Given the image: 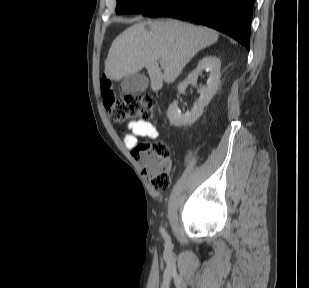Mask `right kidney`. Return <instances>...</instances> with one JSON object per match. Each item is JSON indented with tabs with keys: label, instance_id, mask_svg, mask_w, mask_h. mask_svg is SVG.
I'll return each mask as SVG.
<instances>
[{
	"label": "right kidney",
	"instance_id": "obj_1",
	"mask_svg": "<svg viewBox=\"0 0 309 288\" xmlns=\"http://www.w3.org/2000/svg\"><path fill=\"white\" fill-rule=\"evenodd\" d=\"M221 63L217 57L206 56L199 61L196 69L178 85V92L183 93L189 84L196 85L198 74L203 70L210 73L206 86H200L198 92L199 99L194 103L192 110L182 114L178 108V102L174 101L168 108L167 116L170 123L174 126H187L195 123L203 114L204 107L209 104L215 95L220 83Z\"/></svg>",
	"mask_w": 309,
	"mask_h": 288
}]
</instances>
